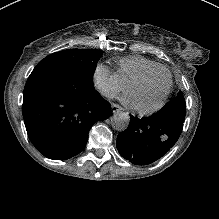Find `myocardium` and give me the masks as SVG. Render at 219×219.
<instances>
[{
    "label": "myocardium",
    "mask_w": 219,
    "mask_h": 219,
    "mask_svg": "<svg viewBox=\"0 0 219 219\" xmlns=\"http://www.w3.org/2000/svg\"><path fill=\"white\" fill-rule=\"evenodd\" d=\"M164 70H166L168 73V84L165 87L162 96L155 103H153L151 105H143V104L135 102L134 107H136L138 110H140V111H153V110H156L157 108H159L162 104H164V102L168 98V95L170 94V91L172 88L173 75H172L171 71L168 68H166L165 66H159L154 71H150V72H147V73L140 75L136 80H134L128 86L127 94L132 97V91H133L135 86L139 85L140 83L144 82L145 80H147L149 78H152V77L158 75L161 71H164Z\"/></svg>",
    "instance_id": "myocardium-1"
}]
</instances>
